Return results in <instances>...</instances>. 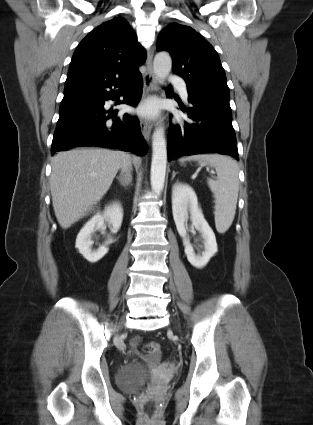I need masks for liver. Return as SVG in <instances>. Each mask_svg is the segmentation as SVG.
Masks as SVG:
<instances>
[{"mask_svg": "<svg viewBox=\"0 0 313 425\" xmlns=\"http://www.w3.org/2000/svg\"><path fill=\"white\" fill-rule=\"evenodd\" d=\"M130 155L122 151L82 148L59 152L52 160L50 188L58 223L63 229L92 211ZM138 161V158H134Z\"/></svg>", "mask_w": 313, "mask_h": 425, "instance_id": "obj_1", "label": "liver"}]
</instances>
